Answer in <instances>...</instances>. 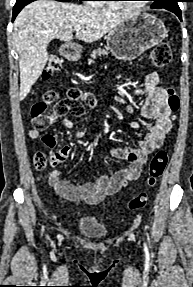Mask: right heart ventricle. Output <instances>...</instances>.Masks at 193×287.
I'll return each mask as SVG.
<instances>
[{
    "label": "right heart ventricle",
    "mask_w": 193,
    "mask_h": 287,
    "mask_svg": "<svg viewBox=\"0 0 193 287\" xmlns=\"http://www.w3.org/2000/svg\"><path fill=\"white\" fill-rule=\"evenodd\" d=\"M97 7H99V8H117L116 6L105 5V4L97 5Z\"/></svg>",
    "instance_id": "right-heart-ventricle-1"
}]
</instances>
